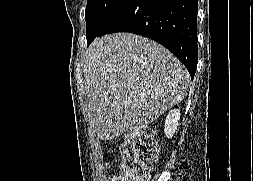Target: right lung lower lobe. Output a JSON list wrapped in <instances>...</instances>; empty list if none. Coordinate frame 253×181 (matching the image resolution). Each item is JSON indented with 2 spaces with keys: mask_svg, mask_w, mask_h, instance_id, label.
<instances>
[{
  "mask_svg": "<svg viewBox=\"0 0 253 181\" xmlns=\"http://www.w3.org/2000/svg\"><path fill=\"white\" fill-rule=\"evenodd\" d=\"M197 10V0H130L101 31L87 35V45L108 33L138 34L169 49L193 79L198 61Z\"/></svg>",
  "mask_w": 253,
  "mask_h": 181,
  "instance_id": "obj_1",
  "label": "right lung lower lobe"
}]
</instances>
